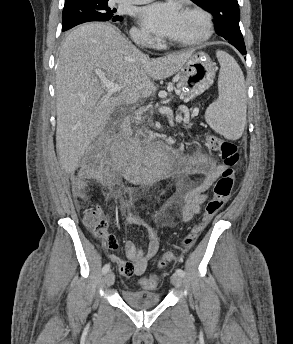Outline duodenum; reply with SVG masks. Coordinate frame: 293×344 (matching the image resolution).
Wrapping results in <instances>:
<instances>
[{
	"label": "duodenum",
	"mask_w": 293,
	"mask_h": 344,
	"mask_svg": "<svg viewBox=\"0 0 293 344\" xmlns=\"http://www.w3.org/2000/svg\"><path fill=\"white\" fill-rule=\"evenodd\" d=\"M168 143H170L168 141ZM112 159L113 161H117V148L116 147H112ZM181 164H182V160L181 161H178L177 159L174 160V167H175V170H180L181 168Z\"/></svg>",
	"instance_id": "obj_1"
}]
</instances>
